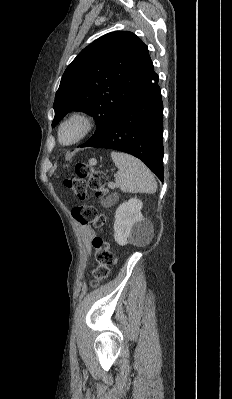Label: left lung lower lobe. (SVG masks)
<instances>
[{"label": "left lung lower lobe", "mask_w": 232, "mask_h": 399, "mask_svg": "<svg viewBox=\"0 0 232 399\" xmlns=\"http://www.w3.org/2000/svg\"><path fill=\"white\" fill-rule=\"evenodd\" d=\"M158 75L149 59L129 100L109 131L90 147L129 153L143 161L164 181L163 104Z\"/></svg>", "instance_id": "0a47b994"}]
</instances>
